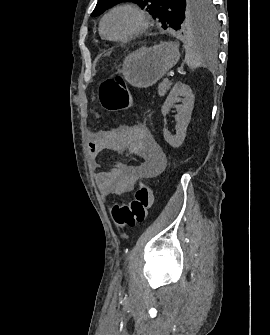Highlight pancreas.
Returning a JSON list of instances; mask_svg holds the SVG:
<instances>
[{"instance_id": "1", "label": "pancreas", "mask_w": 270, "mask_h": 335, "mask_svg": "<svg viewBox=\"0 0 270 335\" xmlns=\"http://www.w3.org/2000/svg\"><path fill=\"white\" fill-rule=\"evenodd\" d=\"M170 86H172V82H169L168 78H165L161 84L158 86V94L159 96H165L167 90H169Z\"/></svg>"}]
</instances>
